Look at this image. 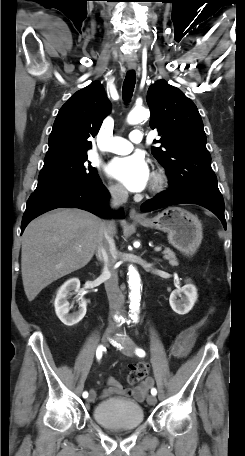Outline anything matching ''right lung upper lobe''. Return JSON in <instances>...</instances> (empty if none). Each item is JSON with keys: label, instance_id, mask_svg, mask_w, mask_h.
Returning a JSON list of instances; mask_svg holds the SVG:
<instances>
[{"label": "right lung upper lobe", "instance_id": "1", "mask_svg": "<svg viewBox=\"0 0 245 456\" xmlns=\"http://www.w3.org/2000/svg\"><path fill=\"white\" fill-rule=\"evenodd\" d=\"M109 112L110 102L100 82L73 94L55 119L44 166L86 155L92 148L88 138L98 133Z\"/></svg>", "mask_w": 245, "mask_h": 456}]
</instances>
